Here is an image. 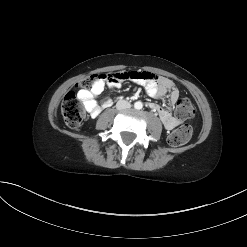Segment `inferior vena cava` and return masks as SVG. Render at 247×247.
<instances>
[{
  "instance_id": "obj_1",
  "label": "inferior vena cava",
  "mask_w": 247,
  "mask_h": 247,
  "mask_svg": "<svg viewBox=\"0 0 247 247\" xmlns=\"http://www.w3.org/2000/svg\"><path fill=\"white\" fill-rule=\"evenodd\" d=\"M130 107H131V104L126 100H120L116 104V108L118 110H124V109H128Z\"/></svg>"
}]
</instances>
